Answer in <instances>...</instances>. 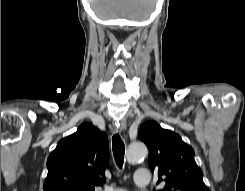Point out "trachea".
<instances>
[{
	"label": "trachea",
	"mask_w": 245,
	"mask_h": 191,
	"mask_svg": "<svg viewBox=\"0 0 245 191\" xmlns=\"http://www.w3.org/2000/svg\"><path fill=\"white\" fill-rule=\"evenodd\" d=\"M113 155L118 167H122L124 163L125 145L118 133L112 138Z\"/></svg>",
	"instance_id": "trachea-1"
}]
</instances>
